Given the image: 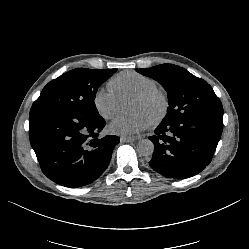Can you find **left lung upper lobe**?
Listing matches in <instances>:
<instances>
[{"label":"left lung upper lobe","mask_w":249,"mask_h":249,"mask_svg":"<svg viewBox=\"0 0 249 249\" xmlns=\"http://www.w3.org/2000/svg\"><path fill=\"white\" fill-rule=\"evenodd\" d=\"M136 71L158 81L167 91L169 107L162 122L198 115L223 114L222 104L212 87L182 67L162 64Z\"/></svg>","instance_id":"left-lung-upper-lobe-1"}]
</instances>
